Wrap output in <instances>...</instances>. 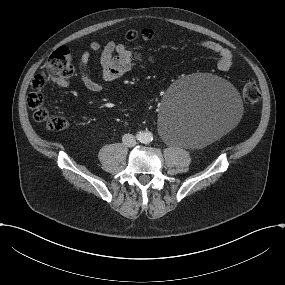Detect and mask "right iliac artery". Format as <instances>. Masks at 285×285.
<instances>
[{"instance_id": "obj_1", "label": "right iliac artery", "mask_w": 285, "mask_h": 285, "mask_svg": "<svg viewBox=\"0 0 285 285\" xmlns=\"http://www.w3.org/2000/svg\"><path fill=\"white\" fill-rule=\"evenodd\" d=\"M142 136H143V134H142L141 132L138 133V134L136 135L137 140H142Z\"/></svg>"}]
</instances>
